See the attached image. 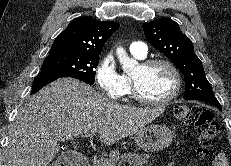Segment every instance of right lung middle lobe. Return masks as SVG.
<instances>
[{"instance_id": "right-lung-middle-lobe-1", "label": "right lung middle lobe", "mask_w": 231, "mask_h": 166, "mask_svg": "<svg viewBox=\"0 0 231 166\" xmlns=\"http://www.w3.org/2000/svg\"><path fill=\"white\" fill-rule=\"evenodd\" d=\"M99 62V55L56 51L49 52L44 59L40 72H51L63 77H72L87 84L95 82V71Z\"/></svg>"}]
</instances>
